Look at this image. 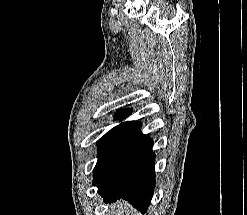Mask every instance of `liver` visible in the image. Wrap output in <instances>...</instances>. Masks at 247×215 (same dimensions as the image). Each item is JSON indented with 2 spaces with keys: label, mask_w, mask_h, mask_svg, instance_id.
Returning a JSON list of instances; mask_svg holds the SVG:
<instances>
[{
  "label": "liver",
  "mask_w": 247,
  "mask_h": 215,
  "mask_svg": "<svg viewBox=\"0 0 247 215\" xmlns=\"http://www.w3.org/2000/svg\"><path fill=\"white\" fill-rule=\"evenodd\" d=\"M128 204H124V207H121L118 211H119V213H118V215H122L121 213H123L124 211L125 212H127L128 211ZM126 215H129V214H126ZM136 215H138V214H136Z\"/></svg>",
  "instance_id": "liver-1"
}]
</instances>
